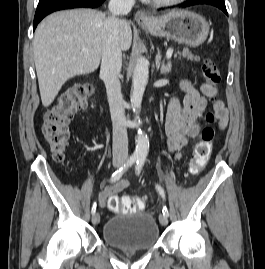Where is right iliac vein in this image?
I'll return each mask as SVG.
<instances>
[{
  "label": "right iliac vein",
  "mask_w": 265,
  "mask_h": 269,
  "mask_svg": "<svg viewBox=\"0 0 265 269\" xmlns=\"http://www.w3.org/2000/svg\"><path fill=\"white\" fill-rule=\"evenodd\" d=\"M122 165V161L120 160H114L113 161V166L114 167H119ZM100 222V216L98 213H94L93 216H92V223L94 225H97L98 223Z\"/></svg>",
  "instance_id": "1"
}]
</instances>
